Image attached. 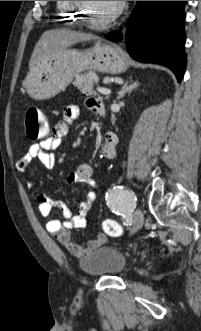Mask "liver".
I'll use <instances>...</instances> for the list:
<instances>
[{
  "instance_id": "obj_1",
  "label": "liver",
  "mask_w": 201,
  "mask_h": 331,
  "mask_svg": "<svg viewBox=\"0 0 201 331\" xmlns=\"http://www.w3.org/2000/svg\"><path fill=\"white\" fill-rule=\"evenodd\" d=\"M89 40H98V37L68 29L45 31L33 50L29 61V70H33L38 64L56 52L68 48L73 44Z\"/></svg>"
}]
</instances>
